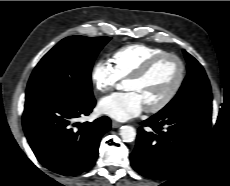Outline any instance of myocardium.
<instances>
[{
	"label": "myocardium",
	"instance_id": "1",
	"mask_svg": "<svg viewBox=\"0 0 230 186\" xmlns=\"http://www.w3.org/2000/svg\"><path fill=\"white\" fill-rule=\"evenodd\" d=\"M164 59H173L177 62L179 66L178 77L170 91L159 102L152 106L145 107V111L148 113H156L161 111L167 107L178 94L186 77V65L184 61L174 53L165 52L149 59L136 72L127 78V81H139L145 78L151 72V70Z\"/></svg>",
	"mask_w": 230,
	"mask_h": 186
}]
</instances>
